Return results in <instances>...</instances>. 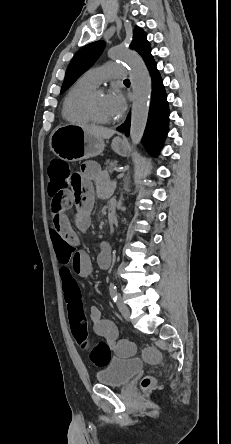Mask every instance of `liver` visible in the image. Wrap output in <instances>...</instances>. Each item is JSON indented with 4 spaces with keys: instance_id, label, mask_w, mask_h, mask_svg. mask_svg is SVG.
<instances>
[{
    "instance_id": "obj_1",
    "label": "liver",
    "mask_w": 231,
    "mask_h": 444,
    "mask_svg": "<svg viewBox=\"0 0 231 444\" xmlns=\"http://www.w3.org/2000/svg\"><path fill=\"white\" fill-rule=\"evenodd\" d=\"M80 127H82L86 132L95 135L96 137L100 138V139H109L111 138L114 134L115 131L112 129H108V128H103V127H99V126H93V125H80Z\"/></svg>"
}]
</instances>
